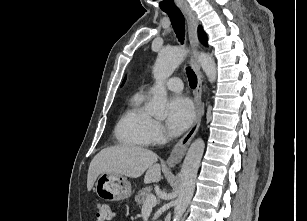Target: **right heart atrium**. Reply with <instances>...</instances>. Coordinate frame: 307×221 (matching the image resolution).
I'll list each match as a JSON object with an SVG mask.
<instances>
[{
  "label": "right heart atrium",
  "instance_id": "obj_1",
  "mask_svg": "<svg viewBox=\"0 0 307 221\" xmlns=\"http://www.w3.org/2000/svg\"><path fill=\"white\" fill-rule=\"evenodd\" d=\"M152 135L155 142L161 141L164 138V129L160 122H153Z\"/></svg>",
  "mask_w": 307,
  "mask_h": 221
}]
</instances>
